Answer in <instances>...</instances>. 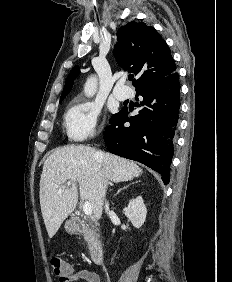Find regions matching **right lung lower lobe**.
Returning a JSON list of instances; mask_svg holds the SVG:
<instances>
[{"instance_id": "right-lung-lower-lobe-1", "label": "right lung lower lobe", "mask_w": 232, "mask_h": 282, "mask_svg": "<svg viewBox=\"0 0 232 282\" xmlns=\"http://www.w3.org/2000/svg\"><path fill=\"white\" fill-rule=\"evenodd\" d=\"M136 92L143 96L137 105L141 107L139 114L128 118L127 108L114 114L104 132V140L111 153L145 164L161 174L167 185L179 119L178 73L148 81L137 87ZM128 121L130 126L125 127Z\"/></svg>"}]
</instances>
